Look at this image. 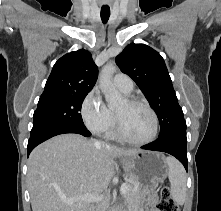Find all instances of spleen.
Listing matches in <instances>:
<instances>
[{
  "mask_svg": "<svg viewBox=\"0 0 221 211\" xmlns=\"http://www.w3.org/2000/svg\"><path fill=\"white\" fill-rule=\"evenodd\" d=\"M168 165V177L171 184V197L177 205H183L186 199V172L173 157L165 159Z\"/></svg>",
  "mask_w": 221,
  "mask_h": 211,
  "instance_id": "spleen-1",
  "label": "spleen"
}]
</instances>
